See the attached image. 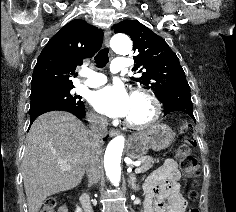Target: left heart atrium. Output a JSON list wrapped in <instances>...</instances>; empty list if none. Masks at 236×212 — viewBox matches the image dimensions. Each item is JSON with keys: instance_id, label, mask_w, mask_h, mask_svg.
Masks as SVG:
<instances>
[{"instance_id": "1", "label": "left heart atrium", "mask_w": 236, "mask_h": 212, "mask_svg": "<svg viewBox=\"0 0 236 212\" xmlns=\"http://www.w3.org/2000/svg\"><path fill=\"white\" fill-rule=\"evenodd\" d=\"M131 97L124 85L112 84L92 93L90 102L98 112L108 117H127Z\"/></svg>"}]
</instances>
